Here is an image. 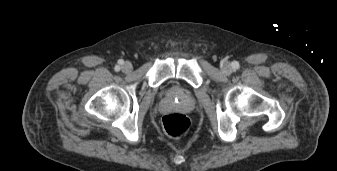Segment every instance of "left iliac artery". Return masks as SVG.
I'll return each instance as SVG.
<instances>
[{
  "label": "left iliac artery",
  "instance_id": "1",
  "mask_svg": "<svg viewBox=\"0 0 337 171\" xmlns=\"http://www.w3.org/2000/svg\"><path fill=\"white\" fill-rule=\"evenodd\" d=\"M233 68L238 69L239 68V63L237 61H234L232 63Z\"/></svg>",
  "mask_w": 337,
  "mask_h": 171
}]
</instances>
